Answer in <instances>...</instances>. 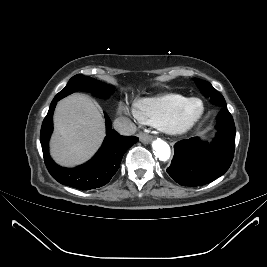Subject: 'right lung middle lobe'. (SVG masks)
I'll use <instances>...</instances> for the list:
<instances>
[{
    "label": "right lung middle lobe",
    "instance_id": "dd1d6c3e",
    "mask_svg": "<svg viewBox=\"0 0 267 267\" xmlns=\"http://www.w3.org/2000/svg\"><path fill=\"white\" fill-rule=\"evenodd\" d=\"M76 90L88 91L100 98H106L113 92L112 87L104 83H100L90 77L78 74L69 80L66 87L60 91L55 98L62 99Z\"/></svg>",
    "mask_w": 267,
    "mask_h": 267
}]
</instances>
